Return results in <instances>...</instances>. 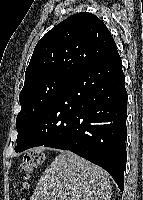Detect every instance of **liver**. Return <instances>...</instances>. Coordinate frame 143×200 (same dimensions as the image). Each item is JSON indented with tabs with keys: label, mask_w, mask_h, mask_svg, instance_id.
Masks as SVG:
<instances>
[{
	"label": "liver",
	"mask_w": 143,
	"mask_h": 200,
	"mask_svg": "<svg viewBox=\"0 0 143 200\" xmlns=\"http://www.w3.org/2000/svg\"><path fill=\"white\" fill-rule=\"evenodd\" d=\"M107 173L71 151H61L40 177L30 200H110Z\"/></svg>",
	"instance_id": "obj_1"
}]
</instances>
